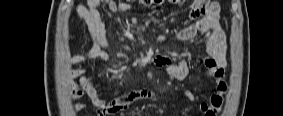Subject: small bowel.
Segmentation results:
<instances>
[{"mask_svg":"<svg viewBox=\"0 0 283 116\" xmlns=\"http://www.w3.org/2000/svg\"><path fill=\"white\" fill-rule=\"evenodd\" d=\"M101 3H104L108 11L113 14L121 13L127 7V1L117 2L113 0H88L87 6L78 5L76 7V12L86 24L93 43L88 50L77 53L68 59L70 65L81 64L73 72V76L78 80L73 86V97H85L87 100L86 103L75 104L73 110L81 111L88 104H91L98 109L97 115L102 116L127 109L131 103L138 100L159 101L166 98L167 94L164 92L141 90L126 93L106 103L101 98L95 84L86 78L89 62L93 60H109L107 49L110 44L99 11ZM191 17L197 19V21L177 32L176 36L180 40H191L198 35L203 40L205 54L202 57L204 65L202 76L214 78L218 90L211 96L208 103H201L199 109L204 116H215L223 104V95L227 89L224 80L226 39L220 26L219 7L212 1L195 0ZM150 63L162 67L170 77L177 81H184L189 77V64L186 60L175 63L165 56H158L154 59L145 56L139 59V64L142 66ZM184 93L190 101L195 100L190 91Z\"/></svg>","mask_w":283,"mask_h":116,"instance_id":"small-bowel-1","label":"small bowel"}]
</instances>
